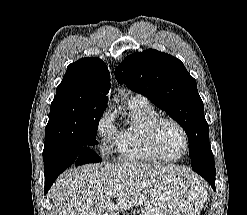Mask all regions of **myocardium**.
I'll list each match as a JSON object with an SVG mask.
<instances>
[{"label":"myocardium","instance_id":"obj_1","mask_svg":"<svg viewBox=\"0 0 247 215\" xmlns=\"http://www.w3.org/2000/svg\"><path fill=\"white\" fill-rule=\"evenodd\" d=\"M170 123L175 125L182 133L184 142H185V148L183 153L178 156V157H169L166 156L160 149L159 145V132L161 127L166 124ZM146 136H147V141L149 144V147L153 154L158 157L160 160L163 161H178L181 160L186 156L189 150L190 146V141H189V135L185 127L176 119L171 118V117H158L156 118L153 122H151L147 128H146Z\"/></svg>","mask_w":247,"mask_h":215}]
</instances>
